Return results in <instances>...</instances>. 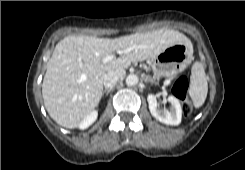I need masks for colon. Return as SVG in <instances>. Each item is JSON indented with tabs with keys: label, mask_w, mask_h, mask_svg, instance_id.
<instances>
[{
	"label": "colon",
	"mask_w": 245,
	"mask_h": 170,
	"mask_svg": "<svg viewBox=\"0 0 245 170\" xmlns=\"http://www.w3.org/2000/svg\"><path fill=\"white\" fill-rule=\"evenodd\" d=\"M172 93L181 100L182 112L185 116H189L192 112V104L188 99V79L182 74L174 82Z\"/></svg>",
	"instance_id": "colon-1"
}]
</instances>
